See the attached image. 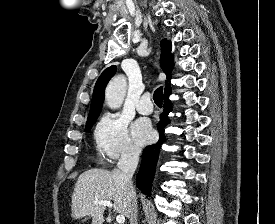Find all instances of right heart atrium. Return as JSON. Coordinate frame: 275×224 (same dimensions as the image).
I'll return each mask as SVG.
<instances>
[{
    "label": "right heart atrium",
    "instance_id": "obj_1",
    "mask_svg": "<svg viewBox=\"0 0 275 224\" xmlns=\"http://www.w3.org/2000/svg\"><path fill=\"white\" fill-rule=\"evenodd\" d=\"M94 142L100 156L110 163L119 159H134L140 153L130 137L128 120L115 113H106L98 121Z\"/></svg>",
    "mask_w": 275,
    "mask_h": 224
}]
</instances>
